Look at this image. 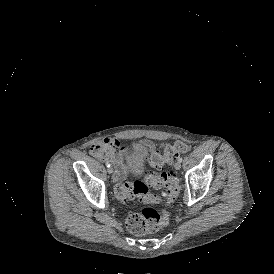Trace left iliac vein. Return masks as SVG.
I'll return each mask as SVG.
<instances>
[{
	"mask_svg": "<svg viewBox=\"0 0 274 274\" xmlns=\"http://www.w3.org/2000/svg\"><path fill=\"white\" fill-rule=\"evenodd\" d=\"M174 168H175L176 170H179V169L181 168V163H180L179 161L175 162V163H174Z\"/></svg>",
	"mask_w": 274,
	"mask_h": 274,
	"instance_id": "obj_1",
	"label": "left iliac vein"
}]
</instances>
